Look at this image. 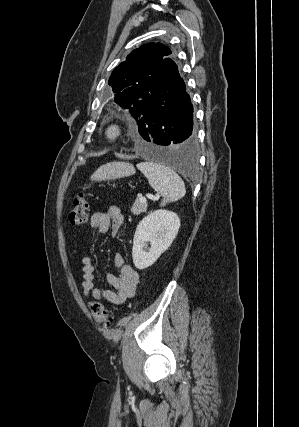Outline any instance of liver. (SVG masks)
I'll use <instances>...</instances> for the list:
<instances>
[{"mask_svg": "<svg viewBox=\"0 0 299 427\" xmlns=\"http://www.w3.org/2000/svg\"><path fill=\"white\" fill-rule=\"evenodd\" d=\"M134 167L126 162H110L100 166L91 176L92 180H106L132 175Z\"/></svg>", "mask_w": 299, "mask_h": 427, "instance_id": "obj_1", "label": "liver"}]
</instances>
